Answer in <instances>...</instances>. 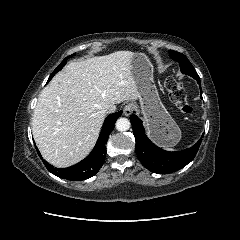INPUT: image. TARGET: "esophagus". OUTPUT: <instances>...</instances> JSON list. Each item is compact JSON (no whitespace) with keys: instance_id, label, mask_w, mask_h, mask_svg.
Returning a JSON list of instances; mask_svg holds the SVG:
<instances>
[{"instance_id":"34e87169","label":"esophagus","mask_w":240,"mask_h":240,"mask_svg":"<svg viewBox=\"0 0 240 240\" xmlns=\"http://www.w3.org/2000/svg\"><path fill=\"white\" fill-rule=\"evenodd\" d=\"M134 110V105L132 103H129L127 105H125L124 109H123V114L125 116H129Z\"/></svg>"}]
</instances>
